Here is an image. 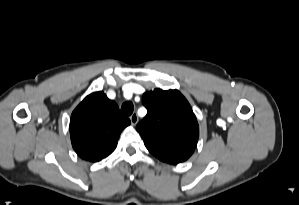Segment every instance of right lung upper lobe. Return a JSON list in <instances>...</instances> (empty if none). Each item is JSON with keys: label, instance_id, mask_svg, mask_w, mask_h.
I'll return each mask as SVG.
<instances>
[{"label": "right lung upper lobe", "instance_id": "obj_1", "mask_svg": "<svg viewBox=\"0 0 299 205\" xmlns=\"http://www.w3.org/2000/svg\"><path fill=\"white\" fill-rule=\"evenodd\" d=\"M130 124L122 118L117 104L103 92L88 95L73 111L70 136L82 159L97 162L111 154L121 131Z\"/></svg>", "mask_w": 299, "mask_h": 205}]
</instances>
